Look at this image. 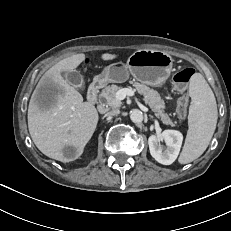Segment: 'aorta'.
<instances>
[{
    "label": "aorta",
    "mask_w": 231,
    "mask_h": 231,
    "mask_svg": "<svg viewBox=\"0 0 231 231\" xmlns=\"http://www.w3.org/2000/svg\"><path fill=\"white\" fill-rule=\"evenodd\" d=\"M130 118L134 123H141L143 121V113L138 109L130 111Z\"/></svg>",
    "instance_id": "aorta-1"
}]
</instances>
